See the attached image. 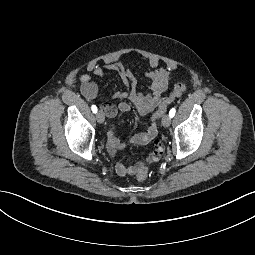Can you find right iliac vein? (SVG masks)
<instances>
[{"instance_id": "right-iliac-vein-1", "label": "right iliac vein", "mask_w": 255, "mask_h": 255, "mask_svg": "<svg viewBox=\"0 0 255 255\" xmlns=\"http://www.w3.org/2000/svg\"><path fill=\"white\" fill-rule=\"evenodd\" d=\"M96 119L99 124H102L105 120V116L102 111H98L96 114Z\"/></svg>"}]
</instances>
